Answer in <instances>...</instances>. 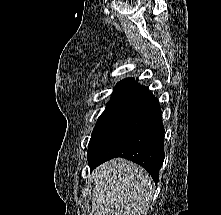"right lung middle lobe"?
Listing matches in <instances>:
<instances>
[{"instance_id": "obj_1", "label": "right lung middle lobe", "mask_w": 221, "mask_h": 215, "mask_svg": "<svg viewBox=\"0 0 221 215\" xmlns=\"http://www.w3.org/2000/svg\"><path fill=\"white\" fill-rule=\"evenodd\" d=\"M131 101H111L107 103L106 109L99 117L93 129L88 145L87 156H89L106 136L119 117L124 113Z\"/></svg>"}]
</instances>
